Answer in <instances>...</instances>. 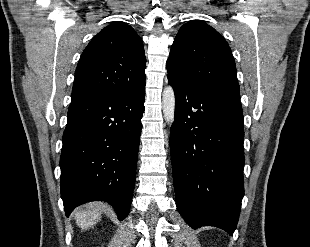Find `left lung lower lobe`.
Here are the masks:
<instances>
[{
    "label": "left lung lower lobe",
    "instance_id": "left-lung-lower-lobe-1",
    "mask_svg": "<svg viewBox=\"0 0 310 247\" xmlns=\"http://www.w3.org/2000/svg\"><path fill=\"white\" fill-rule=\"evenodd\" d=\"M170 150L176 205L192 228L236 229L244 196V128L240 100L180 83Z\"/></svg>",
    "mask_w": 310,
    "mask_h": 247
}]
</instances>
